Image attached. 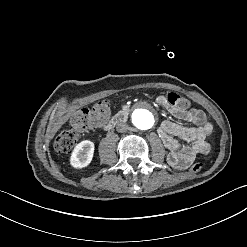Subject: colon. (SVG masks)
Masks as SVG:
<instances>
[{
  "label": "colon",
  "instance_id": "5ec220e1",
  "mask_svg": "<svg viewBox=\"0 0 247 247\" xmlns=\"http://www.w3.org/2000/svg\"><path fill=\"white\" fill-rule=\"evenodd\" d=\"M165 99L173 106H177L178 110H185L190 104L188 98L175 94L173 91H168L165 94ZM107 113L108 103L101 101L93 108L80 109L73 114L70 117V122L74 127L65 129L57 135L55 141L56 152L64 154L70 153L77 143L82 129L95 127L103 123ZM202 167L203 164L201 162H195L191 165L190 170L192 172H199Z\"/></svg>",
  "mask_w": 247,
  "mask_h": 247
}]
</instances>
